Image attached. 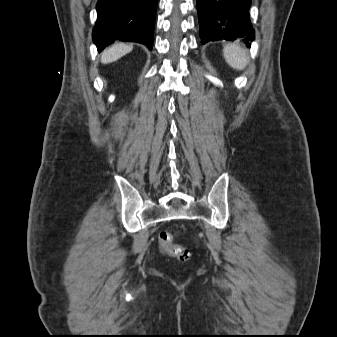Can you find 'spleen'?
<instances>
[{"label": "spleen", "mask_w": 337, "mask_h": 337, "mask_svg": "<svg viewBox=\"0 0 337 337\" xmlns=\"http://www.w3.org/2000/svg\"><path fill=\"white\" fill-rule=\"evenodd\" d=\"M223 56L228 65L236 70H243L249 60L244 48L236 43L225 45L223 48Z\"/></svg>", "instance_id": "1"}]
</instances>
